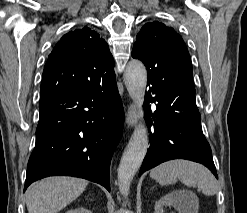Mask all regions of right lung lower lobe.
Returning <instances> with one entry per match:
<instances>
[{
	"label": "right lung lower lobe",
	"mask_w": 247,
	"mask_h": 213,
	"mask_svg": "<svg viewBox=\"0 0 247 213\" xmlns=\"http://www.w3.org/2000/svg\"><path fill=\"white\" fill-rule=\"evenodd\" d=\"M39 110L24 191L36 180L58 175L91 180L110 191V162L124 124L115 75L57 92L40 100Z\"/></svg>",
	"instance_id": "obj_1"
}]
</instances>
